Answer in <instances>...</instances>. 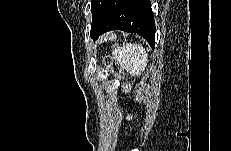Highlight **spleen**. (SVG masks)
<instances>
[{
	"label": "spleen",
	"instance_id": "spleen-1",
	"mask_svg": "<svg viewBox=\"0 0 231 151\" xmlns=\"http://www.w3.org/2000/svg\"><path fill=\"white\" fill-rule=\"evenodd\" d=\"M112 55L132 76H140L147 66L148 55L139 44L126 43L115 48Z\"/></svg>",
	"mask_w": 231,
	"mask_h": 151
}]
</instances>
